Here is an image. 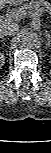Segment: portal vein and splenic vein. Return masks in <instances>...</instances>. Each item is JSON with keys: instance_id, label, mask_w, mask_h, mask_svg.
I'll list each match as a JSON object with an SVG mask.
<instances>
[{"instance_id": "18ae733b", "label": "portal vein and splenic vein", "mask_w": 51, "mask_h": 153, "mask_svg": "<svg viewBox=\"0 0 51 153\" xmlns=\"http://www.w3.org/2000/svg\"><path fill=\"white\" fill-rule=\"evenodd\" d=\"M26 15H27V13L25 11L19 10V11H16V12L15 11L10 12V14H8L6 17L8 19L20 20V19L26 17Z\"/></svg>"}]
</instances>
